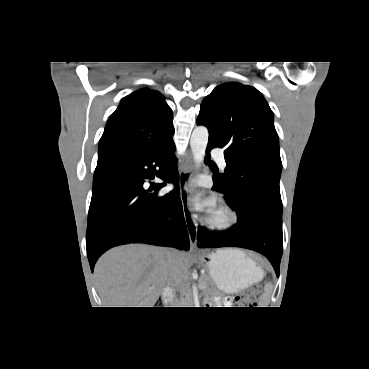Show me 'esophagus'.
Listing matches in <instances>:
<instances>
[{"instance_id":"obj_1","label":"esophagus","mask_w":369,"mask_h":369,"mask_svg":"<svg viewBox=\"0 0 369 369\" xmlns=\"http://www.w3.org/2000/svg\"><path fill=\"white\" fill-rule=\"evenodd\" d=\"M193 170V161L188 158L185 163H183L180 173H179V187H180V198L182 202L183 214L185 218V223L189 235L191 249L196 248L197 242V224L194 219L191 209L189 207V195H188V182L191 179Z\"/></svg>"}]
</instances>
